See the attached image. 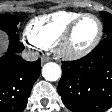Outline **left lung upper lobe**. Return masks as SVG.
<instances>
[{"instance_id":"1","label":"left lung upper lobe","mask_w":112,"mask_h":112,"mask_svg":"<svg viewBox=\"0 0 112 112\" xmlns=\"http://www.w3.org/2000/svg\"><path fill=\"white\" fill-rule=\"evenodd\" d=\"M100 14L104 21V32L107 36L112 35V15L105 11H101Z\"/></svg>"}]
</instances>
